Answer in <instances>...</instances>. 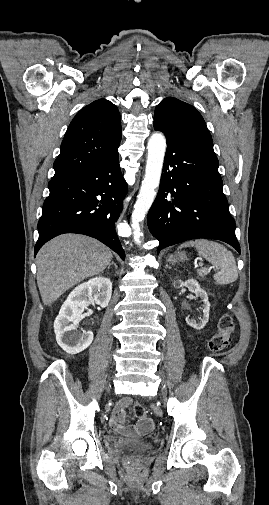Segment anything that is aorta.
<instances>
[{"mask_svg":"<svg viewBox=\"0 0 269 505\" xmlns=\"http://www.w3.org/2000/svg\"><path fill=\"white\" fill-rule=\"evenodd\" d=\"M147 149L145 175L131 216L133 238L137 244L141 243L140 237L142 232L140 222L144 220L145 215L148 213L160 184L166 151V139L164 135L159 132L153 133L149 138Z\"/></svg>","mask_w":269,"mask_h":505,"instance_id":"obj_1","label":"aorta"}]
</instances>
